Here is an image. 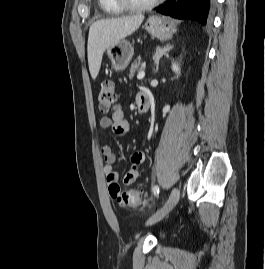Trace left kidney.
<instances>
[{"mask_svg":"<svg viewBox=\"0 0 265 269\" xmlns=\"http://www.w3.org/2000/svg\"><path fill=\"white\" fill-rule=\"evenodd\" d=\"M172 70H173L177 75L180 74V67H179L178 63H176V62H172Z\"/></svg>","mask_w":265,"mask_h":269,"instance_id":"obj_1","label":"left kidney"}]
</instances>
